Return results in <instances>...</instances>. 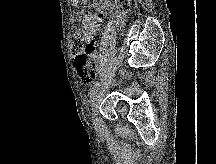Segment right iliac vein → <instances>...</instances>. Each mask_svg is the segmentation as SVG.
Here are the masks:
<instances>
[{"mask_svg": "<svg viewBox=\"0 0 216 164\" xmlns=\"http://www.w3.org/2000/svg\"><path fill=\"white\" fill-rule=\"evenodd\" d=\"M100 93H101L100 90L98 92H96L93 99H92V118L94 120L96 119L97 112H98Z\"/></svg>", "mask_w": 216, "mask_h": 164, "instance_id": "right-iliac-vein-1", "label": "right iliac vein"}]
</instances>
